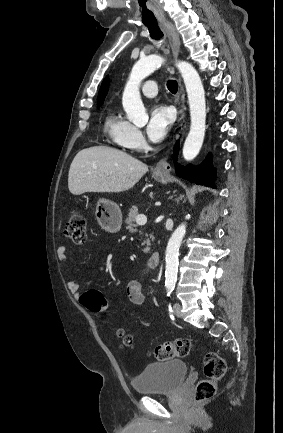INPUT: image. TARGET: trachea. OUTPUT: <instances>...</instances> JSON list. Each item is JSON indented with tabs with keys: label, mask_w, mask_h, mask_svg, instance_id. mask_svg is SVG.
Instances as JSON below:
<instances>
[{
	"label": "trachea",
	"mask_w": 283,
	"mask_h": 433,
	"mask_svg": "<svg viewBox=\"0 0 283 433\" xmlns=\"http://www.w3.org/2000/svg\"><path fill=\"white\" fill-rule=\"evenodd\" d=\"M147 28L149 30L150 37L155 41H159L160 39L163 38V32L161 31L158 25H147ZM167 88L171 93L175 94L177 93L178 90V83L176 82V80H168Z\"/></svg>",
	"instance_id": "3493384b"
}]
</instances>
